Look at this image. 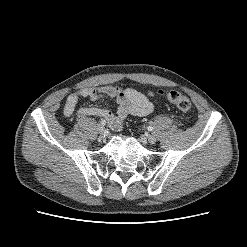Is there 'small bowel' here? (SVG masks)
<instances>
[{
  "label": "small bowel",
  "mask_w": 247,
  "mask_h": 247,
  "mask_svg": "<svg viewBox=\"0 0 247 247\" xmlns=\"http://www.w3.org/2000/svg\"><path fill=\"white\" fill-rule=\"evenodd\" d=\"M153 96L154 93L152 91L145 94L133 88L121 89L116 86L84 88L67 97L63 113L66 117L71 116L74 113L77 104L82 99L91 101L102 98L113 99L116 104L115 113L97 107H81L78 110V115L101 118L107 122L111 130L119 131L123 126L124 120L129 115L143 117L149 115L153 111L154 106L149 99Z\"/></svg>",
  "instance_id": "small-bowel-1"
}]
</instances>
